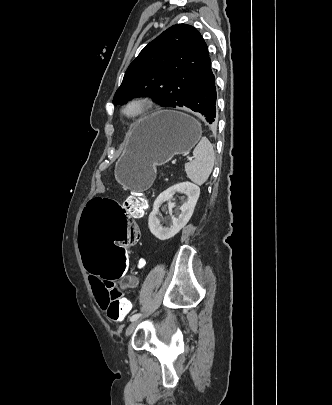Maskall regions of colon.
<instances>
[{"label":"colon","mask_w":332,"mask_h":405,"mask_svg":"<svg viewBox=\"0 0 332 405\" xmlns=\"http://www.w3.org/2000/svg\"><path fill=\"white\" fill-rule=\"evenodd\" d=\"M123 206L128 211L114 197H90L85 203L86 211L82 212L83 220H78L82 268L89 275H104L100 288L106 292L105 311L113 322L132 314L115 281L127 274V257L130 249H136L140 236L132 212L144 213L146 202L139 192H134ZM142 265L140 262L139 266Z\"/></svg>","instance_id":"obj_1"}]
</instances>
